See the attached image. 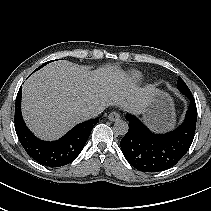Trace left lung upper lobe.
<instances>
[{
	"label": "left lung upper lobe",
	"instance_id": "1",
	"mask_svg": "<svg viewBox=\"0 0 211 211\" xmlns=\"http://www.w3.org/2000/svg\"><path fill=\"white\" fill-rule=\"evenodd\" d=\"M177 87H178L179 91L182 93L190 91L188 86L185 84V82L180 77H178Z\"/></svg>",
	"mask_w": 211,
	"mask_h": 211
}]
</instances>
